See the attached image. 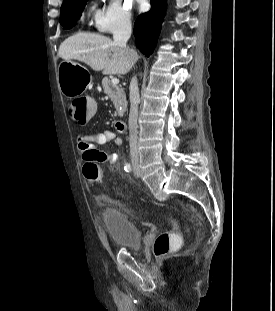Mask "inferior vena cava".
I'll use <instances>...</instances> for the list:
<instances>
[{"instance_id": "602c4592", "label": "inferior vena cava", "mask_w": 275, "mask_h": 311, "mask_svg": "<svg viewBox=\"0 0 275 311\" xmlns=\"http://www.w3.org/2000/svg\"><path fill=\"white\" fill-rule=\"evenodd\" d=\"M131 22L125 20L118 25L116 30L113 32L114 43L119 47L129 51L127 47V41L131 36ZM139 89L136 77H133L130 82V113H129V144H130V155L132 160H138V149H137V134H138V104H139Z\"/></svg>"}]
</instances>
